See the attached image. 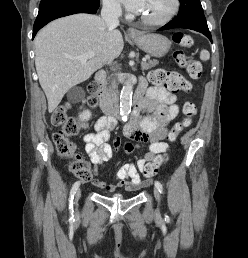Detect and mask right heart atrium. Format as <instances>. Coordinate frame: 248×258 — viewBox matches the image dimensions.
Segmentation results:
<instances>
[{
    "label": "right heart atrium",
    "mask_w": 248,
    "mask_h": 258,
    "mask_svg": "<svg viewBox=\"0 0 248 258\" xmlns=\"http://www.w3.org/2000/svg\"><path fill=\"white\" fill-rule=\"evenodd\" d=\"M104 9L113 15L121 13V6L118 0H102Z\"/></svg>",
    "instance_id": "obj_1"
}]
</instances>
